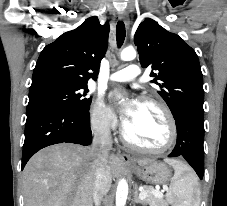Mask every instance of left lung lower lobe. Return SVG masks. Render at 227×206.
<instances>
[{"label":"left lung lower lobe","mask_w":227,"mask_h":206,"mask_svg":"<svg viewBox=\"0 0 227 206\" xmlns=\"http://www.w3.org/2000/svg\"><path fill=\"white\" fill-rule=\"evenodd\" d=\"M203 109L188 107L174 118L177 128V143L168 157H184L200 179L204 172V118Z\"/></svg>","instance_id":"obj_1"}]
</instances>
